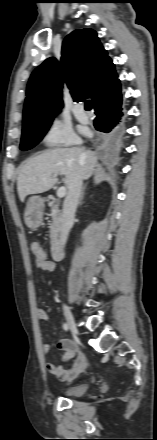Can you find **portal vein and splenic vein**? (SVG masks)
Wrapping results in <instances>:
<instances>
[{"instance_id": "portal-vein-and-splenic-vein-1", "label": "portal vein and splenic vein", "mask_w": 157, "mask_h": 440, "mask_svg": "<svg viewBox=\"0 0 157 440\" xmlns=\"http://www.w3.org/2000/svg\"><path fill=\"white\" fill-rule=\"evenodd\" d=\"M54 176H57L56 174ZM66 195V187H60L57 191V197L63 198Z\"/></svg>"}]
</instances>
